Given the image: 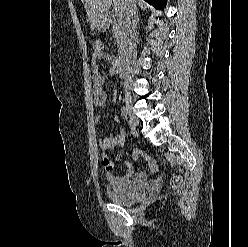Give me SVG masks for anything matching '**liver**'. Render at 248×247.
<instances>
[{
  "instance_id": "liver-1",
  "label": "liver",
  "mask_w": 248,
  "mask_h": 247,
  "mask_svg": "<svg viewBox=\"0 0 248 247\" xmlns=\"http://www.w3.org/2000/svg\"><path fill=\"white\" fill-rule=\"evenodd\" d=\"M86 9L91 29H95L98 21L104 17V12L111 5L116 12L124 14V0H81Z\"/></svg>"
}]
</instances>
